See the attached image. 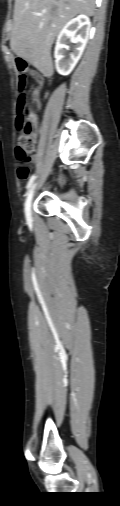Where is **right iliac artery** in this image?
<instances>
[{
  "label": "right iliac artery",
  "instance_id": "obj_1",
  "mask_svg": "<svg viewBox=\"0 0 120 506\" xmlns=\"http://www.w3.org/2000/svg\"><path fill=\"white\" fill-rule=\"evenodd\" d=\"M34 180H35V175H32V176L30 177V179H29L28 183H27V186H26V188H27L28 190H29V189H30V187L32 186V183L34 182Z\"/></svg>",
  "mask_w": 120,
  "mask_h": 506
}]
</instances>
